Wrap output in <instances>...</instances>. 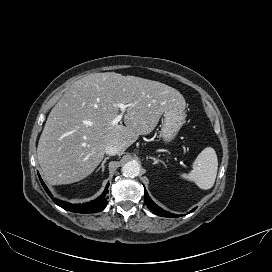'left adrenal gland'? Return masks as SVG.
I'll return each instance as SVG.
<instances>
[{
    "mask_svg": "<svg viewBox=\"0 0 272 272\" xmlns=\"http://www.w3.org/2000/svg\"><path fill=\"white\" fill-rule=\"evenodd\" d=\"M149 158L153 160V164H154V165L158 164L159 162H162V163H163L162 160L157 159V158H155V157H149Z\"/></svg>",
    "mask_w": 272,
    "mask_h": 272,
    "instance_id": "a2214340",
    "label": "left adrenal gland"
}]
</instances>
